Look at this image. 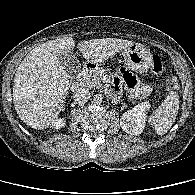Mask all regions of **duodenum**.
I'll return each mask as SVG.
<instances>
[{
  "label": "duodenum",
  "mask_w": 195,
  "mask_h": 195,
  "mask_svg": "<svg viewBox=\"0 0 195 195\" xmlns=\"http://www.w3.org/2000/svg\"><path fill=\"white\" fill-rule=\"evenodd\" d=\"M95 69V65L94 64H86L82 70L80 71L77 80L73 83L72 89L74 91H78L81 88L82 85V79L83 77L90 71Z\"/></svg>",
  "instance_id": "410a0bca"
}]
</instances>
